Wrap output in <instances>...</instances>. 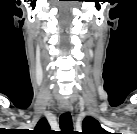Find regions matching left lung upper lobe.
Returning <instances> with one entry per match:
<instances>
[{"instance_id": "5c2ea615", "label": "left lung upper lobe", "mask_w": 137, "mask_h": 134, "mask_svg": "<svg viewBox=\"0 0 137 134\" xmlns=\"http://www.w3.org/2000/svg\"><path fill=\"white\" fill-rule=\"evenodd\" d=\"M83 134H107L100 123L93 117H86L83 121Z\"/></svg>"}]
</instances>
